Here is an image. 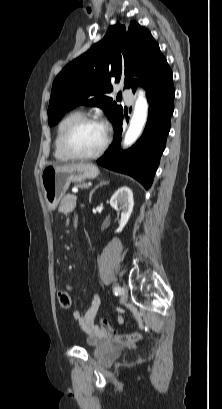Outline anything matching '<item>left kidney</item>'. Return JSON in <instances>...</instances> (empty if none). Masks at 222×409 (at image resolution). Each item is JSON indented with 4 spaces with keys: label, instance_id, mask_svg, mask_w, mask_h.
Returning a JSON list of instances; mask_svg holds the SVG:
<instances>
[{
    "label": "left kidney",
    "instance_id": "5707ae66",
    "mask_svg": "<svg viewBox=\"0 0 222 409\" xmlns=\"http://www.w3.org/2000/svg\"><path fill=\"white\" fill-rule=\"evenodd\" d=\"M110 205L117 211L121 210L119 228L116 230L119 233L127 224L133 211L134 200L132 190L127 186L119 188L111 197Z\"/></svg>",
    "mask_w": 222,
    "mask_h": 409
}]
</instances>
